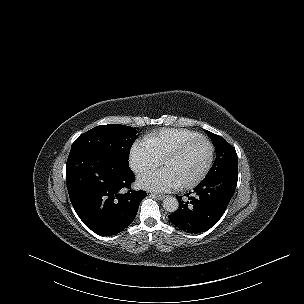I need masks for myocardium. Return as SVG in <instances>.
<instances>
[{
  "instance_id": "f54148a6",
  "label": "myocardium",
  "mask_w": 304,
  "mask_h": 304,
  "mask_svg": "<svg viewBox=\"0 0 304 304\" xmlns=\"http://www.w3.org/2000/svg\"><path fill=\"white\" fill-rule=\"evenodd\" d=\"M199 143H204L207 145V158L201 167V169L198 171V173L190 180L186 181H179V184L182 187H192L197 185L210 171L213 161H214V145L210 139H208L205 136H198L196 138H193L180 147H178L170 156H168L166 159L163 161V168L166 169L167 171H170L171 166L173 163L182 156V154L187 151L189 148L199 144Z\"/></svg>"
}]
</instances>
